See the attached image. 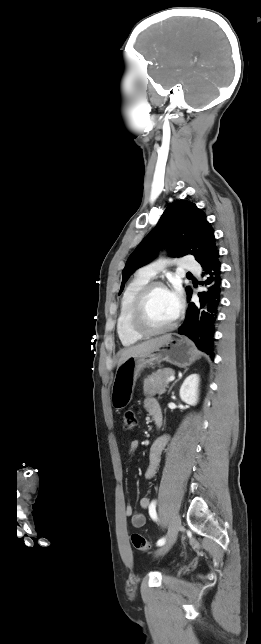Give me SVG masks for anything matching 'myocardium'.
Wrapping results in <instances>:
<instances>
[{"instance_id": "myocardium-1", "label": "myocardium", "mask_w": 261, "mask_h": 644, "mask_svg": "<svg viewBox=\"0 0 261 644\" xmlns=\"http://www.w3.org/2000/svg\"><path fill=\"white\" fill-rule=\"evenodd\" d=\"M155 289H164L168 291L167 286L160 281H149L145 284L138 294L136 295L130 315V327L134 333L141 337H151L159 334H163L173 330L177 325L181 317V310L177 312L174 320L161 328H150L145 322V305L146 301Z\"/></svg>"}]
</instances>
